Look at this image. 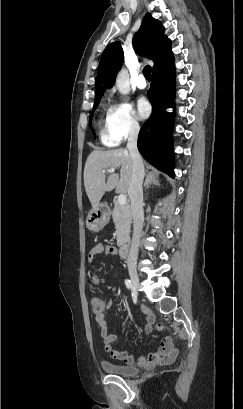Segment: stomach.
<instances>
[{
    "label": "stomach",
    "instance_id": "0dacf381",
    "mask_svg": "<svg viewBox=\"0 0 243 409\" xmlns=\"http://www.w3.org/2000/svg\"><path fill=\"white\" fill-rule=\"evenodd\" d=\"M110 219V210L105 204H99L92 208L86 218V226L89 230L98 232L106 226Z\"/></svg>",
    "mask_w": 243,
    "mask_h": 409
}]
</instances>
